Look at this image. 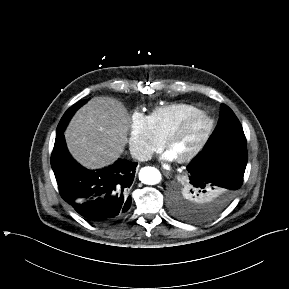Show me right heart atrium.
<instances>
[{
    "label": "right heart atrium",
    "instance_id": "d8ad5b80",
    "mask_svg": "<svg viewBox=\"0 0 289 289\" xmlns=\"http://www.w3.org/2000/svg\"><path fill=\"white\" fill-rule=\"evenodd\" d=\"M162 146V140L155 134L150 119L141 112H134L128 125V147L138 161H146Z\"/></svg>",
    "mask_w": 289,
    "mask_h": 289
}]
</instances>
